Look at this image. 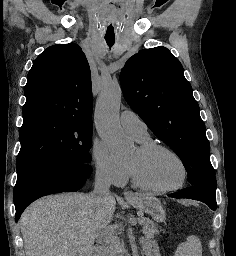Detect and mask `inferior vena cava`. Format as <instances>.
I'll return each instance as SVG.
<instances>
[{
    "label": "inferior vena cava",
    "instance_id": "inferior-vena-cava-1",
    "mask_svg": "<svg viewBox=\"0 0 236 256\" xmlns=\"http://www.w3.org/2000/svg\"><path fill=\"white\" fill-rule=\"evenodd\" d=\"M111 184L112 176L109 168H106V166H97L94 190L91 192V198H93L95 204H101V206L109 204V200H112L110 194Z\"/></svg>",
    "mask_w": 236,
    "mask_h": 256
}]
</instances>
